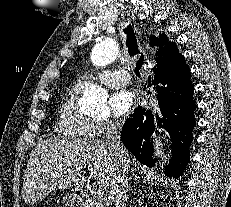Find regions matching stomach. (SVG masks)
Listing matches in <instances>:
<instances>
[{"instance_id": "obj_1", "label": "stomach", "mask_w": 231, "mask_h": 207, "mask_svg": "<svg viewBox=\"0 0 231 207\" xmlns=\"http://www.w3.org/2000/svg\"><path fill=\"white\" fill-rule=\"evenodd\" d=\"M79 195L78 192H74L71 194H67L63 198V203L68 207H74L75 203H79Z\"/></svg>"}]
</instances>
